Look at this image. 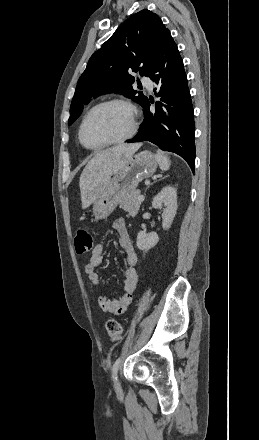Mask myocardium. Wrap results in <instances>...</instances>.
I'll use <instances>...</instances> for the list:
<instances>
[{
  "instance_id": "obj_1",
  "label": "myocardium",
  "mask_w": 259,
  "mask_h": 440,
  "mask_svg": "<svg viewBox=\"0 0 259 440\" xmlns=\"http://www.w3.org/2000/svg\"><path fill=\"white\" fill-rule=\"evenodd\" d=\"M112 104H120L125 106L130 114V129L129 131L121 138L110 141V142H106L100 145H96V146H90L88 145L83 138V131H84V127L85 124L87 122V120L89 119V117L98 109L107 106V105H112ZM139 128V122H138V113H137V109L136 107L128 100L123 99V98H112V99H108V100H104L96 105H94L83 117L80 126H79V130H78V138L80 143L89 150H100L109 146H113V145H118L121 143H124L128 140H130L131 138H133Z\"/></svg>"
}]
</instances>
